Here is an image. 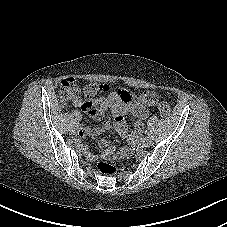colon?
I'll list each match as a JSON object with an SVG mask.
<instances>
[{"instance_id":"obj_1","label":"colon","mask_w":227,"mask_h":227,"mask_svg":"<svg viewBox=\"0 0 227 227\" xmlns=\"http://www.w3.org/2000/svg\"><path fill=\"white\" fill-rule=\"evenodd\" d=\"M107 90L108 87L104 84L89 83L80 85L74 78H65L60 83L59 96L64 103L75 100L79 97L80 93H82L87 100H91ZM125 98L131 100L133 99V95L129 93L125 95ZM138 100L145 105L152 106L158 103L159 97L153 91H142L138 94ZM158 109L160 114L164 117L168 116L171 112L169 104L165 101L159 102ZM97 169L100 173L105 175H114L117 171L116 167L105 161L99 162Z\"/></svg>"}]
</instances>
